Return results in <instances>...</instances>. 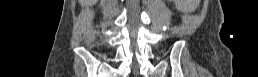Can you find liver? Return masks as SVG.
Instances as JSON below:
<instances>
[{
    "label": "liver",
    "mask_w": 258,
    "mask_h": 77,
    "mask_svg": "<svg viewBox=\"0 0 258 77\" xmlns=\"http://www.w3.org/2000/svg\"><path fill=\"white\" fill-rule=\"evenodd\" d=\"M79 2H80L82 5H86V4L90 3L91 0H90V1H89V0H79Z\"/></svg>",
    "instance_id": "6515ba94"
}]
</instances>
